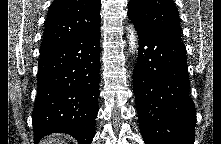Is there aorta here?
<instances>
[{
    "label": "aorta",
    "mask_w": 221,
    "mask_h": 144,
    "mask_svg": "<svg viewBox=\"0 0 221 144\" xmlns=\"http://www.w3.org/2000/svg\"><path fill=\"white\" fill-rule=\"evenodd\" d=\"M129 43H130V47H131V50L134 51L135 49V46H136V39H135V34H134V31H130V36H129Z\"/></svg>",
    "instance_id": "762f6f07"
}]
</instances>
